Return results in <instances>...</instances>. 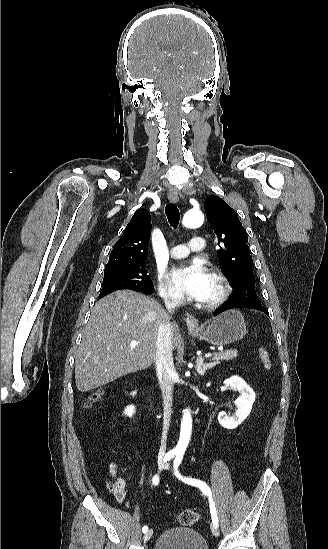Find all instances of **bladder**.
<instances>
[{
  "label": "bladder",
  "mask_w": 328,
  "mask_h": 549,
  "mask_svg": "<svg viewBox=\"0 0 328 549\" xmlns=\"http://www.w3.org/2000/svg\"><path fill=\"white\" fill-rule=\"evenodd\" d=\"M154 549H209L203 537L192 528L170 529L162 532Z\"/></svg>",
  "instance_id": "obj_1"
}]
</instances>
